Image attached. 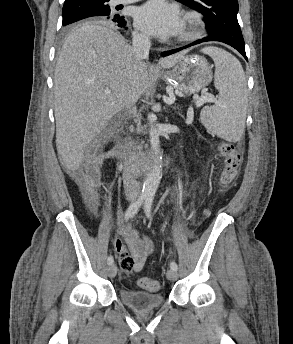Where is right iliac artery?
Instances as JSON below:
<instances>
[{
	"mask_svg": "<svg viewBox=\"0 0 293 344\" xmlns=\"http://www.w3.org/2000/svg\"><path fill=\"white\" fill-rule=\"evenodd\" d=\"M146 196L141 195L135 202H133L128 209L125 212V220H128L132 218L139 210V208L142 206L144 201L146 200ZM114 262V259L112 256H109L107 258L108 265H111Z\"/></svg>",
	"mask_w": 293,
	"mask_h": 344,
	"instance_id": "obj_1",
	"label": "right iliac artery"
}]
</instances>
